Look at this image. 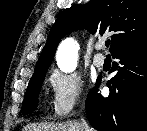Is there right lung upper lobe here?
<instances>
[{"instance_id": "cb5924a9", "label": "right lung upper lobe", "mask_w": 147, "mask_h": 131, "mask_svg": "<svg viewBox=\"0 0 147 131\" xmlns=\"http://www.w3.org/2000/svg\"><path fill=\"white\" fill-rule=\"evenodd\" d=\"M84 27L91 33H111L113 53L147 33V0H90L86 6L76 4L63 10L50 30L33 75L48 69L65 35Z\"/></svg>"}]
</instances>
